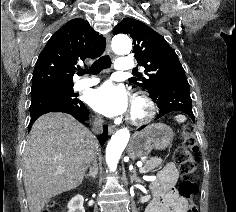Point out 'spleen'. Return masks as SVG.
<instances>
[{"label":"spleen","instance_id":"obj_1","mask_svg":"<svg viewBox=\"0 0 236 212\" xmlns=\"http://www.w3.org/2000/svg\"><path fill=\"white\" fill-rule=\"evenodd\" d=\"M175 120L179 123H183L186 121V117L184 115H177L175 116Z\"/></svg>","mask_w":236,"mask_h":212}]
</instances>
